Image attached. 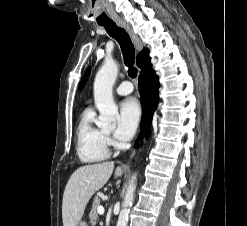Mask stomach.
I'll list each match as a JSON object with an SVG mask.
<instances>
[{
	"mask_svg": "<svg viewBox=\"0 0 247 226\" xmlns=\"http://www.w3.org/2000/svg\"><path fill=\"white\" fill-rule=\"evenodd\" d=\"M76 226H88L86 222L80 221Z\"/></svg>",
	"mask_w": 247,
	"mask_h": 226,
	"instance_id": "1",
	"label": "stomach"
}]
</instances>
